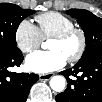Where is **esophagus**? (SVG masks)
Here are the masks:
<instances>
[{"instance_id": "esophagus-1", "label": "esophagus", "mask_w": 102, "mask_h": 102, "mask_svg": "<svg viewBox=\"0 0 102 102\" xmlns=\"http://www.w3.org/2000/svg\"><path fill=\"white\" fill-rule=\"evenodd\" d=\"M53 74L52 73H48V74H40L39 75V79L43 80V81H48L52 78Z\"/></svg>"}]
</instances>
